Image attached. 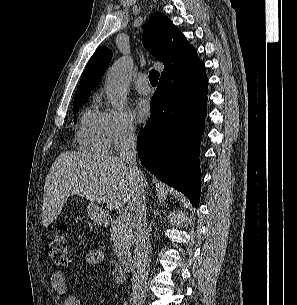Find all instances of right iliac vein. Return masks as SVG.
I'll list each match as a JSON object with an SVG mask.
<instances>
[{
    "mask_svg": "<svg viewBox=\"0 0 297 305\" xmlns=\"http://www.w3.org/2000/svg\"><path fill=\"white\" fill-rule=\"evenodd\" d=\"M134 305H143L142 303L134 304Z\"/></svg>",
    "mask_w": 297,
    "mask_h": 305,
    "instance_id": "1",
    "label": "right iliac vein"
}]
</instances>
